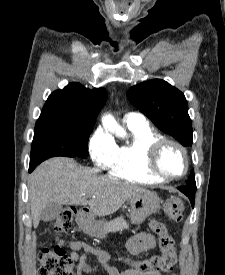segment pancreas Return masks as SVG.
<instances>
[{
    "label": "pancreas",
    "mask_w": 225,
    "mask_h": 275,
    "mask_svg": "<svg viewBox=\"0 0 225 275\" xmlns=\"http://www.w3.org/2000/svg\"><path fill=\"white\" fill-rule=\"evenodd\" d=\"M124 229H129V224L124 220L122 216L106 223L103 227L105 233L118 232Z\"/></svg>",
    "instance_id": "obj_1"
}]
</instances>
